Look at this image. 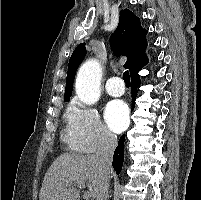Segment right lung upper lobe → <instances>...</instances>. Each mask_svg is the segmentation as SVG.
Wrapping results in <instances>:
<instances>
[{
    "mask_svg": "<svg viewBox=\"0 0 201 200\" xmlns=\"http://www.w3.org/2000/svg\"><path fill=\"white\" fill-rule=\"evenodd\" d=\"M146 34L147 30L141 27L140 19L130 10L124 9L120 12L119 24L110 37V45L117 55L128 57L125 67L130 70L131 75L138 72L148 62L145 54ZM85 55V43L79 44L69 60L64 100H69L72 95L73 80Z\"/></svg>",
    "mask_w": 201,
    "mask_h": 200,
    "instance_id": "1",
    "label": "right lung upper lobe"
}]
</instances>
